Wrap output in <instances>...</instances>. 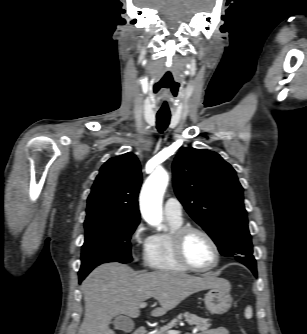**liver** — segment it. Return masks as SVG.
Segmentation results:
<instances>
[{
  "label": "liver",
  "mask_w": 307,
  "mask_h": 334,
  "mask_svg": "<svg viewBox=\"0 0 307 334\" xmlns=\"http://www.w3.org/2000/svg\"><path fill=\"white\" fill-rule=\"evenodd\" d=\"M218 284L214 273L201 277L165 271L138 273L124 264H102L83 281L85 314L78 334H115L109 327L112 318L119 314L137 318L139 305L152 297L160 307L151 315L158 317L191 294Z\"/></svg>",
  "instance_id": "6515ba94"
}]
</instances>
